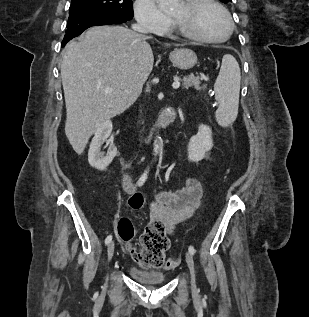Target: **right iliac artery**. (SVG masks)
Returning a JSON list of instances; mask_svg holds the SVG:
<instances>
[{
	"label": "right iliac artery",
	"instance_id": "obj_1",
	"mask_svg": "<svg viewBox=\"0 0 309 317\" xmlns=\"http://www.w3.org/2000/svg\"><path fill=\"white\" fill-rule=\"evenodd\" d=\"M147 179V170L142 174V176L140 177V179L137 182L138 186H141L144 184V182ZM112 241V235H109L106 237L105 239V244L108 245L110 242Z\"/></svg>",
	"mask_w": 309,
	"mask_h": 317
}]
</instances>
